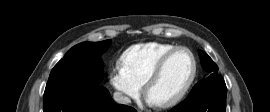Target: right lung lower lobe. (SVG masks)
Segmentation results:
<instances>
[{
    "instance_id": "1",
    "label": "right lung lower lobe",
    "mask_w": 270,
    "mask_h": 112,
    "mask_svg": "<svg viewBox=\"0 0 270 112\" xmlns=\"http://www.w3.org/2000/svg\"><path fill=\"white\" fill-rule=\"evenodd\" d=\"M44 112H137L132 107L116 104L109 92L98 85L54 83L46 86Z\"/></svg>"
}]
</instances>
